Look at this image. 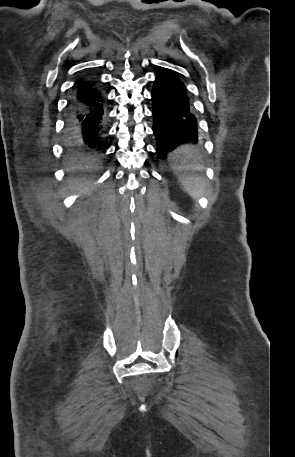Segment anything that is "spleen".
I'll return each instance as SVG.
<instances>
[{"instance_id":"1","label":"spleen","mask_w":295,"mask_h":457,"mask_svg":"<svg viewBox=\"0 0 295 457\" xmlns=\"http://www.w3.org/2000/svg\"><path fill=\"white\" fill-rule=\"evenodd\" d=\"M174 170L179 173L182 184L191 197L199 198L203 195L206 183L190 171L199 169V154L190 151L188 148H181L177 152Z\"/></svg>"}]
</instances>
